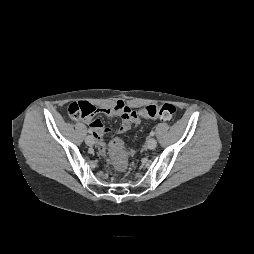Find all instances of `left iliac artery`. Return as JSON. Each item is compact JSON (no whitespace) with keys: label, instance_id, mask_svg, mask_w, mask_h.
Listing matches in <instances>:
<instances>
[{"label":"left iliac artery","instance_id":"1","mask_svg":"<svg viewBox=\"0 0 254 254\" xmlns=\"http://www.w3.org/2000/svg\"><path fill=\"white\" fill-rule=\"evenodd\" d=\"M154 134H155V132L152 130V131L150 132V136H154Z\"/></svg>","mask_w":254,"mask_h":254}]
</instances>
